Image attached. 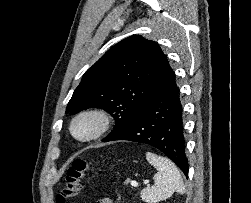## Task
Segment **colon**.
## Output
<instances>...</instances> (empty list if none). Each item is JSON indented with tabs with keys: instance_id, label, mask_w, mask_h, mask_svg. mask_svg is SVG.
<instances>
[{
	"instance_id": "obj_1",
	"label": "colon",
	"mask_w": 251,
	"mask_h": 203,
	"mask_svg": "<svg viewBox=\"0 0 251 203\" xmlns=\"http://www.w3.org/2000/svg\"><path fill=\"white\" fill-rule=\"evenodd\" d=\"M90 164L84 160H75L67 169L64 183L57 196V203H65L77 197L81 191V182Z\"/></svg>"
}]
</instances>
